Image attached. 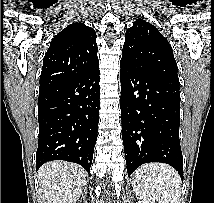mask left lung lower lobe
Segmentation results:
<instances>
[{
  "label": "left lung lower lobe",
  "instance_id": "0a47b994",
  "mask_svg": "<svg viewBox=\"0 0 214 203\" xmlns=\"http://www.w3.org/2000/svg\"><path fill=\"white\" fill-rule=\"evenodd\" d=\"M121 120L128 175L142 164L174 167L183 181L179 81L120 61Z\"/></svg>",
  "mask_w": 214,
  "mask_h": 203
}]
</instances>
